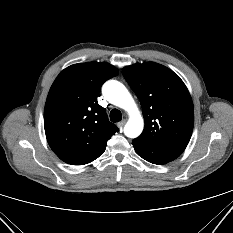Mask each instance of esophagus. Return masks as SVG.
Masks as SVG:
<instances>
[{
    "mask_svg": "<svg viewBox=\"0 0 233 233\" xmlns=\"http://www.w3.org/2000/svg\"><path fill=\"white\" fill-rule=\"evenodd\" d=\"M125 123H126V120H122V121H120V122L117 124V126H118L120 129H122L123 126L125 125Z\"/></svg>",
    "mask_w": 233,
    "mask_h": 233,
    "instance_id": "1",
    "label": "esophagus"
}]
</instances>
